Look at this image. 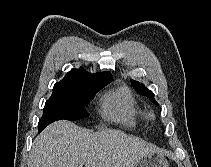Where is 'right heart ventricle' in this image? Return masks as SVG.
Instances as JSON below:
<instances>
[{
  "instance_id": "right-heart-ventricle-1",
  "label": "right heart ventricle",
  "mask_w": 211,
  "mask_h": 167,
  "mask_svg": "<svg viewBox=\"0 0 211 167\" xmlns=\"http://www.w3.org/2000/svg\"><path fill=\"white\" fill-rule=\"evenodd\" d=\"M143 112L126 86L107 92L102 99V115L109 120L134 125Z\"/></svg>"
}]
</instances>
